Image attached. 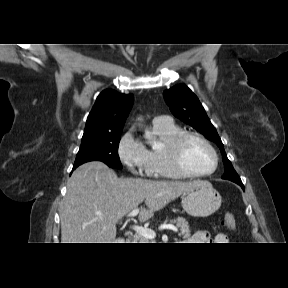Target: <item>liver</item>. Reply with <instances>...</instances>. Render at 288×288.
Instances as JSON below:
<instances>
[{"label": "liver", "instance_id": "6515ba94", "mask_svg": "<svg viewBox=\"0 0 288 288\" xmlns=\"http://www.w3.org/2000/svg\"><path fill=\"white\" fill-rule=\"evenodd\" d=\"M198 181H153L118 178L99 161L79 166L67 182L60 210L62 243H113L116 223L139 204L138 219L145 222L155 211L190 191Z\"/></svg>", "mask_w": 288, "mask_h": 288}]
</instances>
